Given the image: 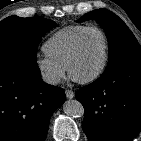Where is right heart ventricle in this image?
Here are the masks:
<instances>
[{
	"mask_svg": "<svg viewBox=\"0 0 141 141\" xmlns=\"http://www.w3.org/2000/svg\"><path fill=\"white\" fill-rule=\"evenodd\" d=\"M87 25H69L55 32L43 45L45 54L66 67L73 45Z\"/></svg>",
	"mask_w": 141,
	"mask_h": 141,
	"instance_id": "1",
	"label": "right heart ventricle"
}]
</instances>
